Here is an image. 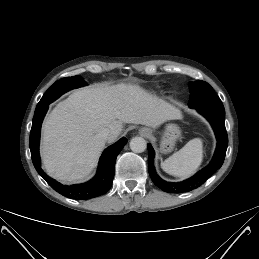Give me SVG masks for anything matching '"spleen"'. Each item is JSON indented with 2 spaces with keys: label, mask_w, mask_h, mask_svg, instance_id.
Segmentation results:
<instances>
[{
  "label": "spleen",
  "mask_w": 259,
  "mask_h": 259,
  "mask_svg": "<svg viewBox=\"0 0 259 259\" xmlns=\"http://www.w3.org/2000/svg\"><path fill=\"white\" fill-rule=\"evenodd\" d=\"M202 160V140L194 138L187 142L179 151L161 162V168L170 175L186 178L200 167Z\"/></svg>",
  "instance_id": "spleen-1"
}]
</instances>
